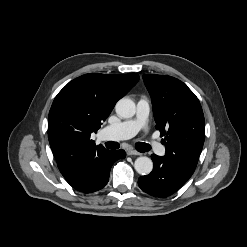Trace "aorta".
<instances>
[{"mask_svg":"<svg viewBox=\"0 0 247 247\" xmlns=\"http://www.w3.org/2000/svg\"><path fill=\"white\" fill-rule=\"evenodd\" d=\"M115 110L118 116L131 118L135 115L136 105L131 99L122 98L116 103ZM134 168L137 173L148 175L153 169V162L150 158L141 156L135 160Z\"/></svg>","mask_w":247,"mask_h":247,"instance_id":"1","label":"aorta"}]
</instances>
